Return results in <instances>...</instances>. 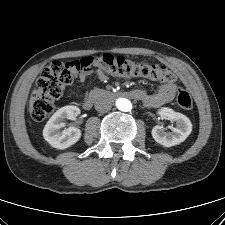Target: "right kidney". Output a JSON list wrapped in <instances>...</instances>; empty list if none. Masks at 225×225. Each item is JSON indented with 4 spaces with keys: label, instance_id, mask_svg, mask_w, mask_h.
Listing matches in <instances>:
<instances>
[{
    "label": "right kidney",
    "instance_id": "obj_1",
    "mask_svg": "<svg viewBox=\"0 0 225 225\" xmlns=\"http://www.w3.org/2000/svg\"><path fill=\"white\" fill-rule=\"evenodd\" d=\"M80 114L76 106H65L57 110L43 129L44 139L54 148L66 149L74 145L81 137V130L69 127L60 131L65 119L74 120Z\"/></svg>",
    "mask_w": 225,
    "mask_h": 225
}]
</instances>
